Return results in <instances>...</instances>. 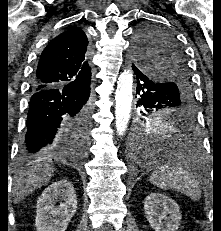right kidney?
<instances>
[{
    "label": "right kidney",
    "mask_w": 221,
    "mask_h": 231,
    "mask_svg": "<svg viewBox=\"0 0 221 231\" xmlns=\"http://www.w3.org/2000/svg\"><path fill=\"white\" fill-rule=\"evenodd\" d=\"M36 209L37 231H65L77 211L73 185L65 179L53 182L38 198Z\"/></svg>",
    "instance_id": "obj_1"
}]
</instances>
